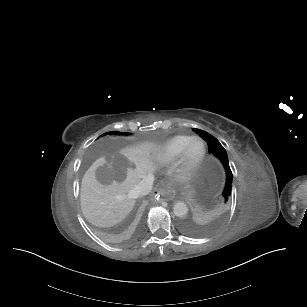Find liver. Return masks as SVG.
Here are the masks:
<instances>
[{"label":"liver","mask_w":307,"mask_h":307,"mask_svg":"<svg viewBox=\"0 0 307 307\" xmlns=\"http://www.w3.org/2000/svg\"><path fill=\"white\" fill-rule=\"evenodd\" d=\"M152 145L118 150L95 161L81 185V207L85 218L96 226L120 222L132 210V190L152 170Z\"/></svg>","instance_id":"liver-1"}]
</instances>
